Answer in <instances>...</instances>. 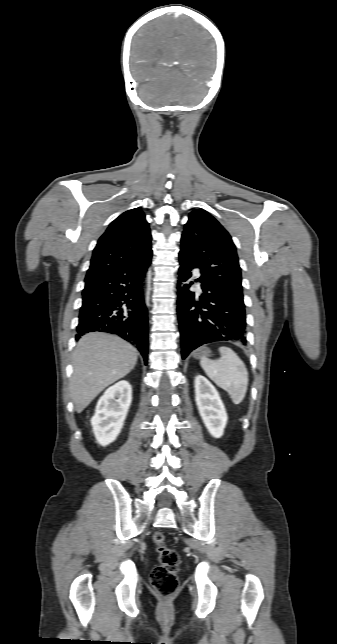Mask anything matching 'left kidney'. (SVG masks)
<instances>
[{
  "instance_id": "1",
  "label": "left kidney",
  "mask_w": 337,
  "mask_h": 644,
  "mask_svg": "<svg viewBox=\"0 0 337 644\" xmlns=\"http://www.w3.org/2000/svg\"><path fill=\"white\" fill-rule=\"evenodd\" d=\"M195 401L209 433L215 438H220L224 433L228 416L216 388L202 375L195 377Z\"/></svg>"
}]
</instances>
